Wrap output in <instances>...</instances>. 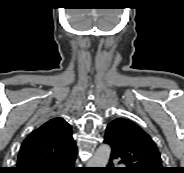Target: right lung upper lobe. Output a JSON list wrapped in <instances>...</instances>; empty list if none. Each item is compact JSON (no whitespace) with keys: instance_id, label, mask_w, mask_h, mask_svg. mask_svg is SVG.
I'll use <instances>...</instances> for the list:
<instances>
[{"instance_id":"right-lung-upper-lobe-1","label":"right lung upper lobe","mask_w":184,"mask_h":173,"mask_svg":"<svg viewBox=\"0 0 184 173\" xmlns=\"http://www.w3.org/2000/svg\"><path fill=\"white\" fill-rule=\"evenodd\" d=\"M77 153L71 126L54 118L33 131L22 143L16 173L43 168Z\"/></svg>"}]
</instances>
